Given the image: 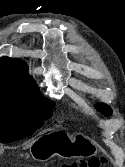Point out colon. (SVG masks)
I'll return each instance as SVG.
<instances>
[{
  "label": "colon",
  "instance_id": "5ec220e1",
  "mask_svg": "<svg viewBox=\"0 0 125 167\" xmlns=\"http://www.w3.org/2000/svg\"><path fill=\"white\" fill-rule=\"evenodd\" d=\"M106 162L104 157H92L89 160H75L61 167H101Z\"/></svg>",
  "mask_w": 125,
  "mask_h": 167
}]
</instances>
